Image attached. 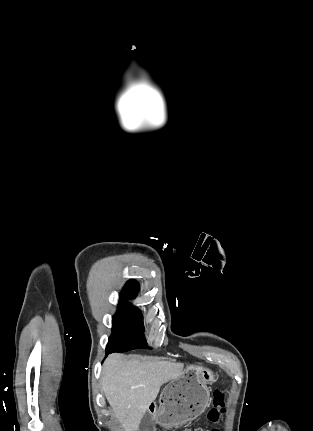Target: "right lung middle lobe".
Returning a JSON list of instances; mask_svg holds the SVG:
<instances>
[{
    "label": "right lung middle lobe",
    "mask_w": 313,
    "mask_h": 431,
    "mask_svg": "<svg viewBox=\"0 0 313 431\" xmlns=\"http://www.w3.org/2000/svg\"><path fill=\"white\" fill-rule=\"evenodd\" d=\"M149 348L144 336L143 316L139 309L126 301H120L113 316L112 335L106 352H126L132 349Z\"/></svg>",
    "instance_id": "obj_1"
}]
</instances>
